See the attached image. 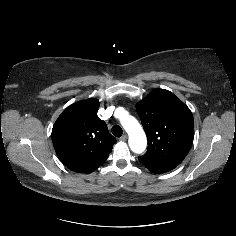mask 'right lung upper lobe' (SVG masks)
I'll return each mask as SVG.
<instances>
[{"label": "right lung upper lobe", "mask_w": 236, "mask_h": 236, "mask_svg": "<svg viewBox=\"0 0 236 236\" xmlns=\"http://www.w3.org/2000/svg\"><path fill=\"white\" fill-rule=\"evenodd\" d=\"M99 101H79L56 120L52 142L61 162L74 172L91 173L102 165L116 142L106 123L98 118Z\"/></svg>", "instance_id": "cb5924a9"}]
</instances>
